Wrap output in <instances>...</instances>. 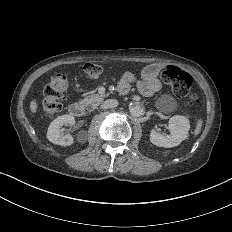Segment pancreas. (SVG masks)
Instances as JSON below:
<instances>
[{
    "instance_id": "1",
    "label": "pancreas",
    "mask_w": 232,
    "mask_h": 232,
    "mask_svg": "<svg viewBox=\"0 0 232 232\" xmlns=\"http://www.w3.org/2000/svg\"><path fill=\"white\" fill-rule=\"evenodd\" d=\"M105 97L106 95L98 94L87 96L81 101V104H83L86 107H89V111H93L104 100Z\"/></svg>"
}]
</instances>
